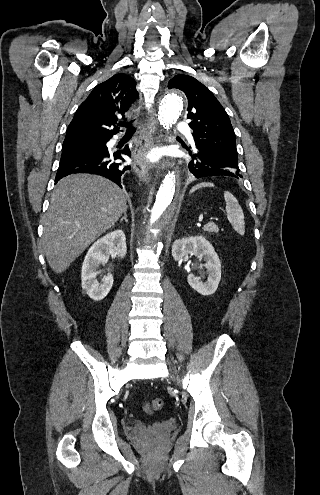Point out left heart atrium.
Here are the masks:
<instances>
[{
	"instance_id": "39dd6f15",
	"label": "left heart atrium",
	"mask_w": 320,
	"mask_h": 495,
	"mask_svg": "<svg viewBox=\"0 0 320 495\" xmlns=\"http://www.w3.org/2000/svg\"><path fill=\"white\" fill-rule=\"evenodd\" d=\"M150 157H152V158H153V157H154V155H152V154H151V155H150Z\"/></svg>"
}]
</instances>
